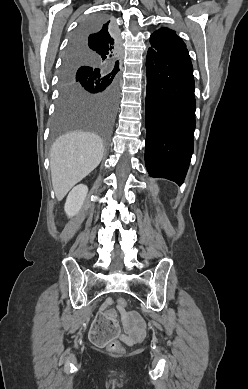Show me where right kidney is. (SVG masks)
Returning <instances> with one entry per match:
<instances>
[{
	"instance_id": "obj_1",
	"label": "right kidney",
	"mask_w": 248,
	"mask_h": 389,
	"mask_svg": "<svg viewBox=\"0 0 248 389\" xmlns=\"http://www.w3.org/2000/svg\"><path fill=\"white\" fill-rule=\"evenodd\" d=\"M88 193V187L80 184L74 187L67 196L64 206L65 213L68 217H73L82 208L84 200Z\"/></svg>"
}]
</instances>
